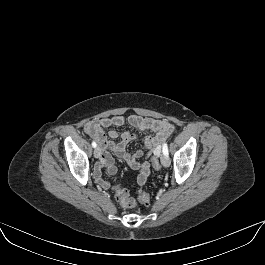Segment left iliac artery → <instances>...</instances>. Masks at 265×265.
I'll use <instances>...</instances> for the list:
<instances>
[{"label": "left iliac artery", "mask_w": 265, "mask_h": 265, "mask_svg": "<svg viewBox=\"0 0 265 265\" xmlns=\"http://www.w3.org/2000/svg\"><path fill=\"white\" fill-rule=\"evenodd\" d=\"M162 151H163V154L168 156L169 153H168V146H167V143H164L163 144V148H162Z\"/></svg>", "instance_id": "1"}]
</instances>
